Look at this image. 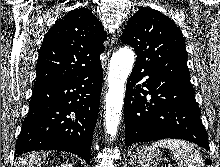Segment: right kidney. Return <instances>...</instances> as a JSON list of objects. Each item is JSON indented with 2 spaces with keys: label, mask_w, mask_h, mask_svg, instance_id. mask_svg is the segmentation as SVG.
<instances>
[{
  "label": "right kidney",
  "mask_w": 220,
  "mask_h": 167,
  "mask_svg": "<svg viewBox=\"0 0 220 167\" xmlns=\"http://www.w3.org/2000/svg\"><path fill=\"white\" fill-rule=\"evenodd\" d=\"M56 167H72V165L68 164V163H63V164H60V165H58Z\"/></svg>",
  "instance_id": "ca27d5eb"
}]
</instances>
